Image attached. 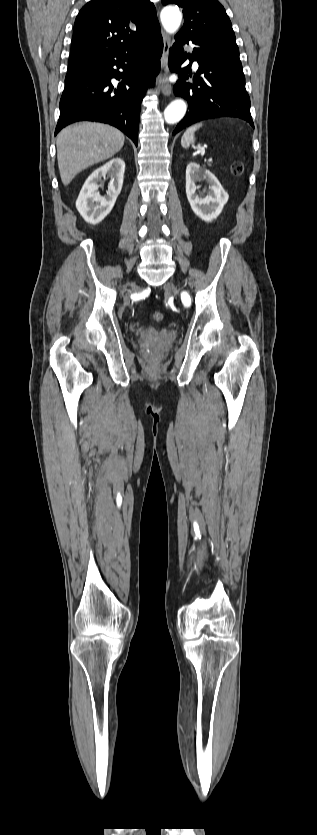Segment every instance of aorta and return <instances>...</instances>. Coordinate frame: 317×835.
Segmentation results:
<instances>
[{
  "instance_id": "1",
  "label": "aorta",
  "mask_w": 317,
  "mask_h": 835,
  "mask_svg": "<svg viewBox=\"0 0 317 835\" xmlns=\"http://www.w3.org/2000/svg\"><path fill=\"white\" fill-rule=\"evenodd\" d=\"M160 19L166 32L173 34L180 27L182 13L177 7L168 6L161 11ZM186 110L187 105L183 100L177 99L173 101L164 111L165 122L167 124H175L179 122L184 117Z\"/></svg>"
}]
</instances>
